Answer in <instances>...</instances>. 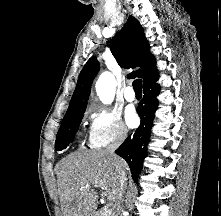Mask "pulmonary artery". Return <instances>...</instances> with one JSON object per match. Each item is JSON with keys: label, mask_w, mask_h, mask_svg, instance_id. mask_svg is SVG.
I'll use <instances>...</instances> for the list:
<instances>
[{"label": "pulmonary artery", "mask_w": 221, "mask_h": 216, "mask_svg": "<svg viewBox=\"0 0 221 216\" xmlns=\"http://www.w3.org/2000/svg\"><path fill=\"white\" fill-rule=\"evenodd\" d=\"M124 97L127 101L132 102L135 100L136 95L131 86H128L124 91Z\"/></svg>", "instance_id": "1"}]
</instances>
